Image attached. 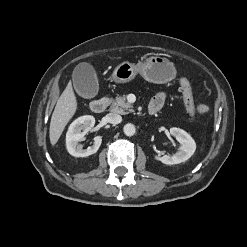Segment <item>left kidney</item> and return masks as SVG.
Returning <instances> with one entry per match:
<instances>
[{"label": "left kidney", "instance_id": "1", "mask_svg": "<svg viewBox=\"0 0 247 247\" xmlns=\"http://www.w3.org/2000/svg\"><path fill=\"white\" fill-rule=\"evenodd\" d=\"M170 133L180 142L181 146L178 151L172 155H164L162 157L155 155L154 158L166 165H173L185 162L188 160L196 150V143L194 139L186 131L172 127Z\"/></svg>", "mask_w": 247, "mask_h": 247}]
</instances>
